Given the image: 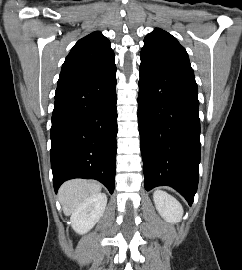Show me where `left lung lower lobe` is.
Instances as JSON below:
<instances>
[{"label": "left lung lower lobe", "instance_id": "1", "mask_svg": "<svg viewBox=\"0 0 242 270\" xmlns=\"http://www.w3.org/2000/svg\"><path fill=\"white\" fill-rule=\"evenodd\" d=\"M139 74L138 124L145 189L171 186L192 205L200 162L195 78L142 61Z\"/></svg>", "mask_w": 242, "mask_h": 270}]
</instances>
